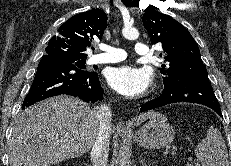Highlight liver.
<instances>
[{"label":"liver","mask_w":231,"mask_h":166,"mask_svg":"<svg viewBox=\"0 0 231 166\" xmlns=\"http://www.w3.org/2000/svg\"><path fill=\"white\" fill-rule=\"evenodd\" d=\"M147 112L133 120L152 117ZM99 132L95 109L85 102L59 96L41 101L18 117L9 141V166H51L88 152Z\"/></svg>","instance_id":"1"}]
</instances>
